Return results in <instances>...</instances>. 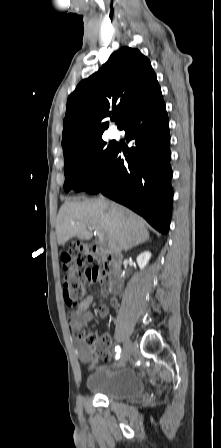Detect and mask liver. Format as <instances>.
Instances as JSON below:
<instances>
[{
  "instance_id": "1",
  "label": "liver",
  "mask_w": 221,
  "mask_h": 448,
  "mask_svg": "<svg viewBox=\"0 0 221 448\" xmlns=\"http://www.w3.org/2000/svg\"><path fill=\"white\" fill-rule=\"evenodd\" d=\"M103 233L108 248L120 253L149 239L145 221L131 210L104 198L65 202L56 220L58 245L72 237L90 240L93 230Z\"/></svg>"
}]
</instances>
